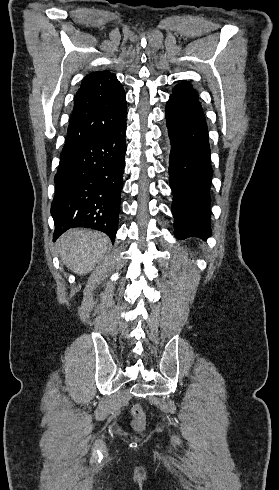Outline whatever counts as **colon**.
Here are the masks:
<instances>
[{"instance_id": "obj_1", "label": "colon", "mask_w": 279, "mask_h": 490, "mask_svg": "<svg viewBox=\"0 0 279 490\" xmlns=\"http://www.w3.org/2000/svg\"><path fill=\"white\" fill-rule=\"evenodd\" d=\"M132 416L137 423H142L146 419L145 412L140 406H135L132 409Z\"/></svg>"}]
</instances>
